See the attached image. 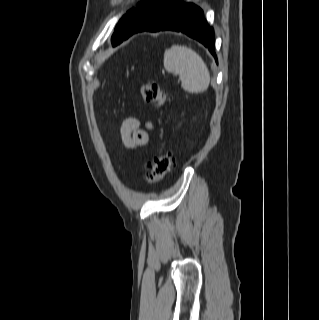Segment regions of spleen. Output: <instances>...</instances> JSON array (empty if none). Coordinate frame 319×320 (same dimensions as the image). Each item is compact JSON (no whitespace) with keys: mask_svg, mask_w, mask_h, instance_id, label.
Instances as JSON below:
<instances>
[{"mask_svg":"<svg viewBox=\"0 0 319 320\" xmlns=\"http://www.w3.org/2000/svg\"><path fill=\"white\" fill-rule=\"evenodd\" d=\"M164 68L178 73L182 88L189 93H202L210 83V73L202 58L192 49L173 45L164 53Z\"/></svg>","mask_w":319,"mask_h":320,"instance_id":"spleen-1","label":"spleen"}]
</instances>
